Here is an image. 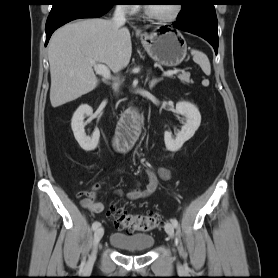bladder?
Wrapping results in <instances>:
<instances>
[{"instance_id": "bladder-1", "label": "bladder", "mask_w": 278, "mask_h": 278, "mask_svg": "<svg viewBox=\"0 0 278 278\" xmlns=\"http://www.w3.org/2000/svg\"><path fill=\"white\" fill-rule=\"evenodd\" d=\"M111 246L127 251H146L153 247L155 239L149 233L127 234L123 232H114L109 237Z\"/></svg>"}]
</instances>
